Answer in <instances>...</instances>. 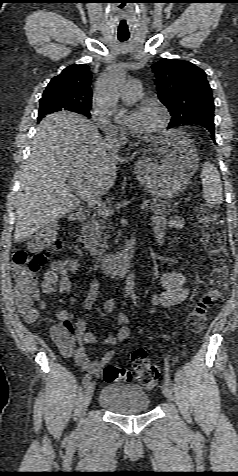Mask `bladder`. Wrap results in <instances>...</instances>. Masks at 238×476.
Returning a JSON list of instances; mask_svg holds the SVG:
<instances>
[{
  "label": "bladder",
  "instance_id": "bladder-1",
  "mask_svg": "<svg viewBox=\"0 0 238 476\" xmlns=\"http://www.w3.org/2000/svg\"><path fill=\"white\" fill-rule=\"evenodd\" d=\"M98 403L114 414L131 415L147 411L151 400L140 385L109 383L102 388Z\"/></svg>",
  "mask_w": 238,
  "mask_h": 476
}]
</instances>
